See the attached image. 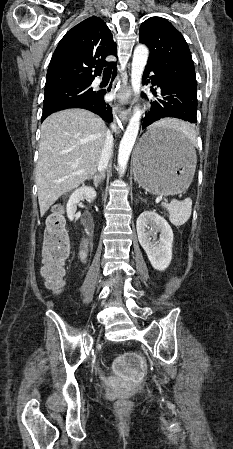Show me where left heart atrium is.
Returning <instances> with one entry per match:
<instances>
[{"mask_svg": "<svg viewBox=\"0 0 233 449\" xmlns=\"http://www.w3.org/2000/svg\"><path fill=\"white\" fill-rule=\"evenodd\" d=\"M121 98H125V95H123V94H121V95H119Z\"/></svg>", "mask_w": 233, "mask_h": 449, "instance_id": "39dd6f15", "label": "left heart atrium"}]
</instances>
